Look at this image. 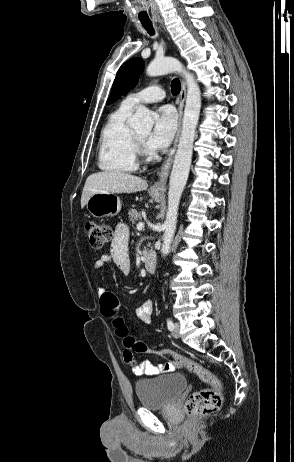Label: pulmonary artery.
Listing matches in <instances>:
<instances>
[{"mask_svg": "<svg viewBox=\"0 0 294 462\" xmlns=\"http://www.w3.org/2000/svg\"><path fill=\"white\" fill-rule=\"evenodd\" d=\"M165 88L161 85H151L138 92L129 94L122 102L123 105L134 108L142 103H152L164 99Z\"/></svg>", "mask_w": 294, "mask_h": 462, "instance_id": "1", "label": "pulmonary artery"}]
</instances>
